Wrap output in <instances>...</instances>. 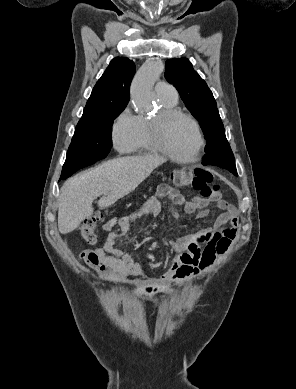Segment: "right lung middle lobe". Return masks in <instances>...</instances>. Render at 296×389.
I'll list each match as a JSON object with an SVG mask.
<instances>
[{
    "instance_id": "1",
    "label": "right lung middle lobe",
    "mask_w": 296,
    "mask_h": 389,
    "mask_svg": "<svg viewBox=\"0 0 296 389\" xmlns=\"http://www.w3.org/2000/svg\"><path fill=\"white\" fill-rule=\"evenodd\" d=\"M125 107L104 111L78 122L62 173L75 172L104 159L111 149L113 121Z\"/></svg>"
}]
</instances>
